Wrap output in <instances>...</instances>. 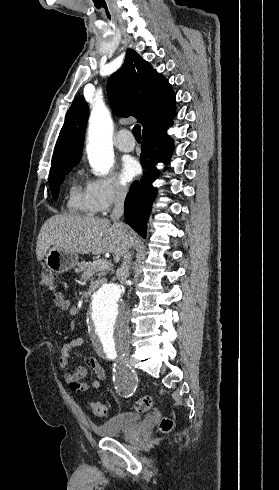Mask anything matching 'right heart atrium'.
Returning a JSON list of instances; mask_svg holds the SVG:
<instances>
[{
    "label": "right heart atrium",
    "mask_w": 279,
    "mask_h": 490,
    "mask_svg": "<svg viewBox=\"0 0 279 490\" xmlns=\"http://www.w3.org/2000/svg\"><path fill=\"white\" fill-rule=\"evenodd\" d=\"M126 193V186L113 175L102 178L88 177L84 183L87 208L96 216L105 215L114 204L125 197Z\"/></svg>",
    "instance_id": "right-heart-atrium-1"
}]
</instances>
